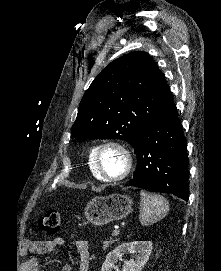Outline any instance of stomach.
<instances>
[{
  "label": "stomach",
  "mask_w": 221,
  "mask_h": 271,
  "mask_svg": "<svg viewBox=\"0 0 221 271\" xmlns=\"http://www.w3.org/2000/svg\"><path fill=\"white\" fill-rule=\"evenodd\" d=\"M133 199L130 195L112 193L106 197H93L85 207V217L93 225H105L115 219H122L133 211Z\"/></svg>",
  "instance_id": "stomach-1"
}]
</instances>
